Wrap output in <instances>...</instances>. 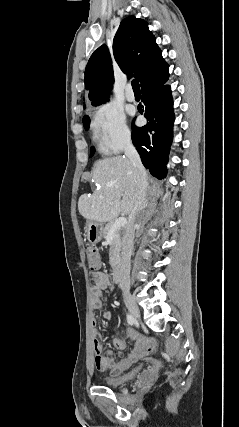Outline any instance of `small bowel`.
<instances>
[{"label":"small bowel","instance_id":"small-bowel-1","mask_svg":"<svg viewBox=\"0 0 239 427\" xmlns=\"http://www.w3.org/2000/svg\"><path fill=\"white\" fill-rule=\"evenodd\" d=\"M115 282L106 274L98 273L94 276L91 287V303L93 309H99L103 306L105 298L113 292ZM103 317L106 321L112 319L113 315L110 310H105ZM93 327V348L95 353L94 364L100 371H110L112 375H119L127 370L132 364L137 362L144 354L156 349L157 343L153 339L143 338L135 330H128V337L132 341V348L128 354L119 361H115L109 351L105 349L103 336L99 330L95 317L92 319ZM113 344L116 348L123 350L126 348L125 340L114 339Z\"/></svg>","mask_w":239,"mask_h":427}]
</instances>
